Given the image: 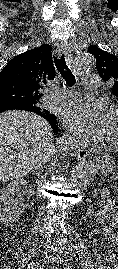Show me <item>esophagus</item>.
Segmentation results:
<instances>
[{
    "mask_svg": "<svg viewBox=\"0 0 118 269\" xmlns=\"http://www.w3.org/2000/svg\"><path fill=\"white\" fill-rule=\"evenodd\" d=\"M56 51H57L58 54H63L64 53L65 56H66L67 63L69 65H71L72 54L66 48V46H64L63 44H60V45L57 46ZM74 155L78 160H84L86 157H88L90 155V152H89V150H87L85 148H78V149H76Z\"/></svg>",
    "mask_w": 118,
    "mask_h": 269,
    "instance_id": "34e87169",
    "label": "esophagus"
}]
</instances>
